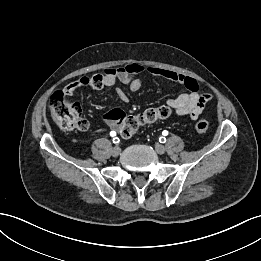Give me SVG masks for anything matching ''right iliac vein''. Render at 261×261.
Returning <instances> with one entry per match:
<instances>
[{"label":"right iliac vein","mask_w":261,"mask_h":261,"mask_svg":"<svg viewBox=\"0 0 261 261\" xmlns=\"http://www.w3.org/2000/svg\"><path fill=\"white\" fill-rule=\"evenodd\" d=\"M111 153L114 157H117L121 153V148L119 146H115L112 148Z\"/></svg>","instance_id":"right-iliac-vein-1"}]
</instances>
